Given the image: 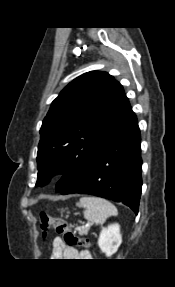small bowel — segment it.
I'll return each instance as SVG.
<instances>
[{"label":"small bowel","instance_id":"small-bowel-1","mask_svg":"<svg viewBox=\"0 0 175 287\" xmlns=\"http://www.w3.org/2000/svg\"><path fill=\"white\" fill-rule=\"evenodd\" d=\"M52 257L53 258H66V259H90L91 254L87 250L77 251L75 248L66 246L62 239L56 237L52 242Z\"/></svg>","mask_w":175,"mask_h":287}]
</instances>
